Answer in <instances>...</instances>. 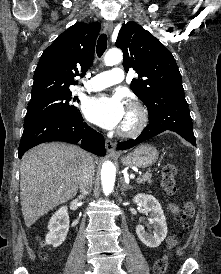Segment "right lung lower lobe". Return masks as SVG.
<instances>
[{"mask_svg":"<svg viewBox=\"0 0 221 274\" xmlns=\"http://www.w3.org/2000/svg\"><path fill=\"white\" fill-rule=\"evenodd\" d=\"M51 141H63L81 144V147L96 155H105L103 136L89 127L82 116L73 119L63 115L45 116L24 123L19 154L21 156L30 148Z\"/></svg>","mask_w":221,"mask_h":274,"instance_id":"1","label":"right lung lower lobe"}]
</instances>
